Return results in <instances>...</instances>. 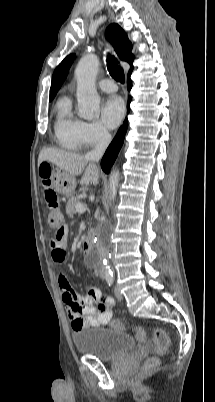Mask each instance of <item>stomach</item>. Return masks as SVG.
I'll return each mask as SVG.
<instances>
[{"label": "stomach", "mask_w": 215, "mask_h": 402, "mask_svg": "<svg viewBox=\"0 0 215 402\" xmlns=\"http://www.w3.org/2000/svg\"><path fill=\"white\" fill-rule=\"evenodd\" d=\"M50 180L55 191L64 196H71L76 187L75 177L60 168L53 167Z\"/></svg>", "instance_id": "0dacf381"}]
</instances>
